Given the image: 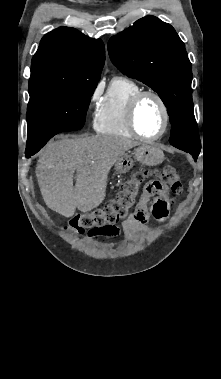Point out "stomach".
Listing matches in <instances>:
<instances>
[{"mask_svg":"<svg viewBox=\"0 0 221 379\" xmlns=\"http://www.w3.org/2000/svg\"><path fill=\"white\" fill-rule=\"evenodd\" d=\"M163 160L164 153L160 148L153 144H142L133 152L122 155L115 163V171L118 174H125L133 167L135 161L147 166H156Z\"/></svg>","mask_w":221,"mask_h":379,"instance_id":"obj_1","label":"stomach"}]
</instances>
